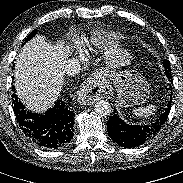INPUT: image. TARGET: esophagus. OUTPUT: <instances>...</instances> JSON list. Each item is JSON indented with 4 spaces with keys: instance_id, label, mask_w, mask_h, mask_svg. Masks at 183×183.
I'll list each match as a JSON object with an SVG mask.
<instances>
[{
    "instance_id": "esophagus-1",
    "label": "esophagus",
    "mask_w": 183,
    "mask_h": 183,
    "mask_svg": "<svg viewBox=\"0 0 183 183\" xmlns=\"http://www.w3.org/2000/svg\"><path fill=\"white\" fill-rule=\"evenodd\" d=\"M111 96V85L99 75L94 74L82 84L78 92V101L82 105H91L101 98L108 99Z\"/></svg>"
}]
</instances>
